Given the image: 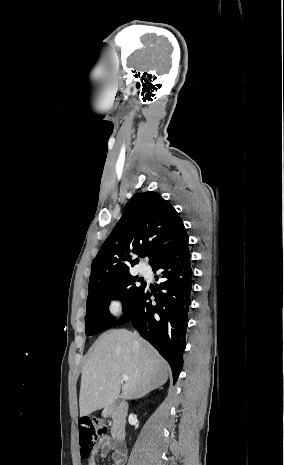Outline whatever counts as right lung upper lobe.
Wrapping results in <instances>:
<instances>
[{"label": "right lung upper lobe", "instance_id": "cb5924a9", "mask_svg": "<svg viewBox=\"0 0 284 465\" xmlns=\"http://www.w3.org/2000/svg\"><path fill=\"white\" fill-rule=\"evenodd\" d=\"M188 238L174 207L158 193L135 194L92 262L89 291L131 275L133 255L149 254L151 267Z\"/></svg>", "mask_w": 284, "mask_h": 465}]
</instances>
